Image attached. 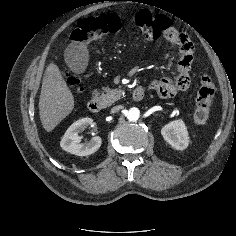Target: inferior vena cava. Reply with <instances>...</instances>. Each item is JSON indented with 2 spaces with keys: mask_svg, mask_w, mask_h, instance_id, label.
Instances as JSON below:
<instances>
[{
  "mask_svg": "<svg viewBox=\"0 0 236 236\" xmlns=\"http://www.w3.org/2000/svg\"><path fill=\"white\" fill-rule=\"evenodd\" d=\"M122 108H123V106H121V105L114 106V107L111 109V113H116V112L120 111Z\"/></svg>",
  "mask_w": 236,
  "mask_h": 236,
  "instance_id": "602c4592",
  "label": "inferior vena cava"
}]
</instances>
